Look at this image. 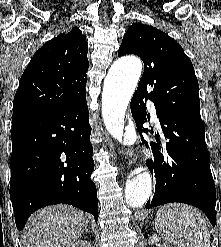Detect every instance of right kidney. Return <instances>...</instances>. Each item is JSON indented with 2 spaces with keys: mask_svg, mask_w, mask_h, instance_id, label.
Instances as JSON below:
<instances>
[{
  "mask_svg": "<svg viewBox=\"0 0 221 247\" xmlns=\"http://www.w3.org/2000/svg\"><path fill=\"white\" fill-rule=\"evenodd\" d=\"M71 247H91L90 243L85 240L75 242Z\"/></svg>",
  "mask_w": 221,
  "mask_h": 247,
  "instance_id": "ca27d5eb",
  "label": "right kidney"
}]
</instances>
